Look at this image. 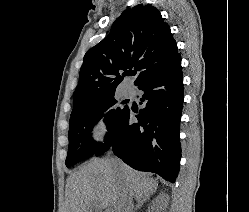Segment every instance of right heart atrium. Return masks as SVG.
<instances>
[{
  "label": "right heart atrium",
  "mask_w": 249,
  "mask_h": 212,
  "mask_svg": "<svg viewBox=\"0 0 249 212\" xmlns=\"http://www.w3.org/2000/svg\"><path fill=\"white\" fill-rule=\"evenodd\" d=\"M110 132V121L105 114H98L90 121L89 134L95 144H103L107 140Z\"/></svg>",
  "instance_id": "obj_1"
}]
</instances>
